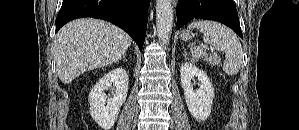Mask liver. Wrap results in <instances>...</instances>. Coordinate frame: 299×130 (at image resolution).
<instances>
[{
  "label": "liver",
  "instance_id": "liver-1",
  "mask_svg": "<svg viewBox=\"0 0 299 130\" xmlns=\"http://www.w3.org/2000/svg\"><path fill=\"white\" fill-rule=\"evenodd\" d=\"M131 42L126 32L103 20L69 22L56 34L53 45L60 80L69 84L86 71L117 62Z\"/></svg>",
  "mask_w": 299,
  "mask_h": 130
}]
</instances>
